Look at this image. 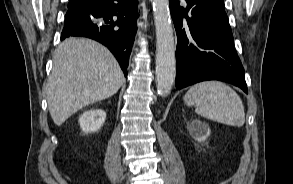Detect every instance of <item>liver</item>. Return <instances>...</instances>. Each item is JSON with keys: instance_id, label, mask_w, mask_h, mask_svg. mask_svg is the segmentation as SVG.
<instances>
[{"instance_id": "liver-1", "label": "liver", "mask_w": 293, "mask_h": 184, "mask_svg": "<svg viewBox=\"0 0 293 184\" xmlns=\"http://www.w3.org/2000/svg\"><path fill=\"white\" fill-rule=\"evenodd\" d=\"M124 74L110 51L87 38H67L59 44L47 83L50 115L57 126L95 102L117 93Z\"/></svg>"}]
</instances>
